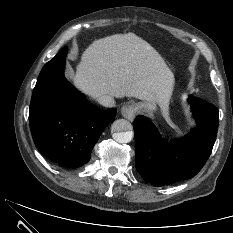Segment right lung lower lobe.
<instances>
[{
  "mask_svg": "<svg viewBox=\"0 0 233 233\" xmlns=\"http://www.w3.org/2000/svg\"><path fill=\"white\" fill-rule=\"evenodd\" d=\"M66 54L63 48L43 67L33 91L29 123L43 155L63 167L77 168L90 160L116 109L94 107L65 79Z\"/></svg>",
  "mask_w": 233,
  "mask_h": 233,
  "instance_id": "obj_1",
  "label": "right lung lower lobe"
}]
</instances>
